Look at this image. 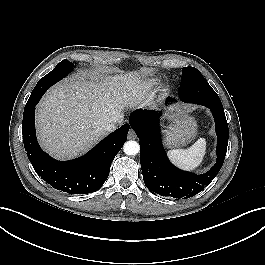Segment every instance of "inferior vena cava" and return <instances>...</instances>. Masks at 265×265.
Wrapping results in <instances>:
<instances>
[{
  "instance_id": "602c4592",
  "label": "inferior vena cava",
  "mask_w": 265,
  "mask_h": 265,
  "mask_svg": "<svg viewBox=\"0 0 265 265\" xmlns=\"http://www.w3.org/2000/svg\"><path fill=\"white\" fill-rule=\"evenodd\" d=\"M116 123H118L117 120H112V121L108 122V123L104 126V129H105L107 132L114 131V130L116 129Z\"/></svg>"
}]
</instances>
